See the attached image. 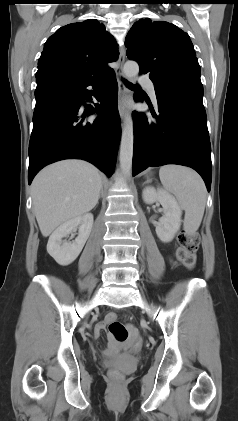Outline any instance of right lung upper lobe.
I'll return each mask as SVG.
<instances>
[{
    "instance_id": "right-lung-upper-lobe-1",
    "label": "right lung upper lobe",
    "mask_w": 238,
    "mask_h": 421,
    "mask_svg": "<svg viewBox=\"0 0 238 421\" xmlns=\"http://www.w3.org/2000/svg\"><path fill=\"white\" fill-rule=\"evenodd\" d=\"M114 38L94 19L71 23L48 38L38 62L36 79H88L104 76L117 60Z\"/></svg>"
}]
</instances>
